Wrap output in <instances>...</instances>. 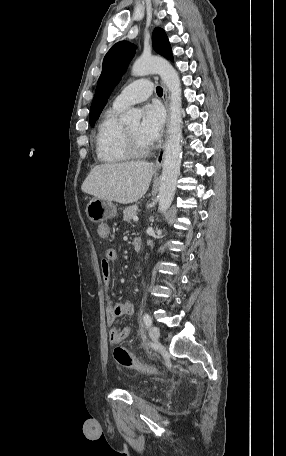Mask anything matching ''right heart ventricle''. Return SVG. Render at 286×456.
I'll list each match as a JSON object with an SVG mask.
<instances>
[{"instance_id":"e07e8e85","label":"right heart ventricle","mask_w":286,"mask_h":456,"mask_svg":"<svg viewBox=\"0 0 286 456\" xmlns=\"http://www.w3.org/2000/svg\"><path fill=\"white\" fill-rule=\"evenodd\" d=\"M124 109L112 106L101 120L96 138V155L99 161L106 164H117L127 161L130 157L124 144V126L119 115Z\"/></svg>"}]
</instances>
